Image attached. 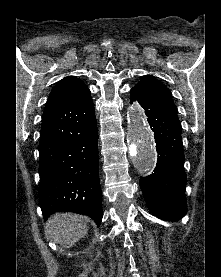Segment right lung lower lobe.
<instances>
[{
	"label": "right lung lower lobe",
	"mask_w": 221,
	"mask_h": 277,
	"mask_svg": "<svg viewBox=\"0 0 221 277\" xmlns=\"http://www.w3.org/2000/svg\"><path fill=\"white\" fill-rule=\"evenodd\" d=\"M39 203L47 219L58 211L102 221L98 131L89 89L47 103L39 142Z\"/></svg>",
	"instance_id": "right-lung-lower-lobe-1"
}]
</instances>
